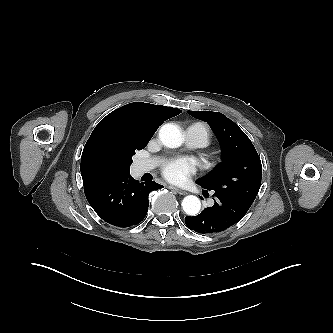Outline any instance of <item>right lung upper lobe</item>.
<instances>
[{"label": "right lung upper lobe", "mask_w": 333, "mask_h": 333, "mask_svg": "<svg viewBox=\"0 0 333 333\" xmlns=\"http://www.w3.org/2000/svg\"><path fill=\"white\" fill-rule=\"evenodd\" d=\"M181 112L172 107L133 102L109 113L95 127L83 149L80 169L84 188L114 175L100 155V146L107 136L121 135L149 142L165 120Z\"/></svg>", "instance_id": "obj_1"}]
</instances>
